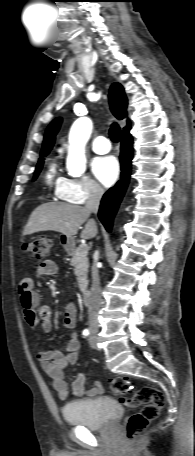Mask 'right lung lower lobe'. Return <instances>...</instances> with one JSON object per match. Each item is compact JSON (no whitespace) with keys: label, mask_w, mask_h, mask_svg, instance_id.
<instances>
[{"label":"right lung lower lobe","mask_w":195,"mask_h":456,"mask_svg":"<svg viewBox=\"0 0 195 456\" xmlns=\"http://www.w3.org/2000/svg\"><path fill=\"white\" fill-rule=\"evenodd\" d=\"M132 151V136L129 132H125L123 133L121 142V180L104 194L98 213L99 219L108 232L111 231L113 217L116 214L118 206L128 186L131 172V160L133 156Z\"/></svg>","instance_id":"obj_1"}]
</instances>
